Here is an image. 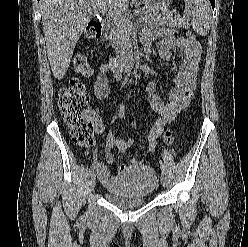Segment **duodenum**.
<instances>
[{
	"label": "duodenum",
	"mask_w": 248,
	"mask_h": 247,
	"mask_svg": "<svg viewBox=\"0 0 248 247\" xmlns=\"http://www.w3.org/2000/svg\"><path fill=\"white\" fill-rule=\"evenodd\" d=\"M94 26L101 32L106 28V23L103 20H98ZM138 62V56L135 53H128L124 57L117 59L114 68L118 71H129Z\"/></svg>",
	"instance_id": "duodenum-1"
}]
</instances>
